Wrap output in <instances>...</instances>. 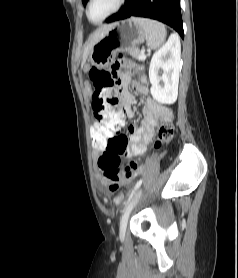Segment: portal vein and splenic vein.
<instances>
[{
    "label": "portal vein and splenic vein",
    "instance_id": "obj_1",
    "mask_svg": "<svg viewBox=\"0 0 238 278\" xmlns=\"http://www.w3.org/2000/svg\"><path fill=\"white\" fill-rule=\"evenodd\" d=\"M140 60H145L146 59V55L144 54V51H142L140 57H139Z\"/></svg>",
    "mask_w": 238,
    "mask_h": 278
}]
</instances>
